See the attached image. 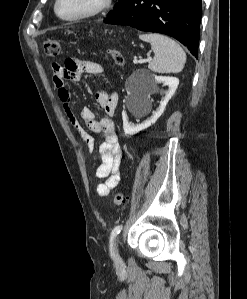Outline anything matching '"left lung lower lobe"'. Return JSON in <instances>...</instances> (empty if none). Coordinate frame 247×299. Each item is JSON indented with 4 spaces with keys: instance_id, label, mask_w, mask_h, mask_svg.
I'll list each match as a JSON object with an SVG mask.
<instances>
[{
    "instance_id": "1",
    "label": "left lung lower lobe",
    "mask_w": 247,
    "mask_h": 299,
    "mask_svg": "<svg viewBox=\"0 0 247 299\" xmlns=\"http://www.w3.org/2000/svg\"><path fill=\"white\" fill-rule=\"evenodd\" d=\"M201 16V0H129L103 22L172 36L197 57Z\"/></svg>"
}]
</instances>
